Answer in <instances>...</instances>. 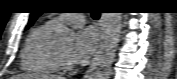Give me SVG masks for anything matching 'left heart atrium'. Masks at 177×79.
I'll list each match as a JSON object with an SVG mask.
<instances>
[{
  "instance_id": "left-heart-atrium-1",
  "label": "left heart atrium",
  "mask_w": 177,
  "mask_h": 79,
  "mask_svg": "<svg viewBox=\"0 0 177 79\" xmlns=\"http://www.w3.org/2000/svg\"><path fill=\"white\" fill-rule=\"evenodd\" d=\"M97 43L98 36L94 29L85 28L80 30L70 51V60L74 63H84L94 53Z\"/></svg>"
}]
</instances>
